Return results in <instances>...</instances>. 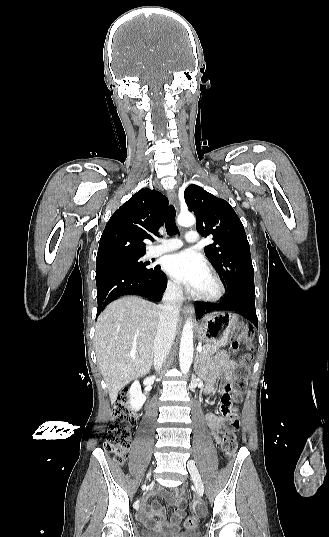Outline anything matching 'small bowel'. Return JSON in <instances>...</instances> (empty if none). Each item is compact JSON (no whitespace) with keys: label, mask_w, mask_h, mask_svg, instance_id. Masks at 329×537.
<instances>
[{"label":"small bowel","mask_w":329,"mask_h":537,"mask_svg":"<svg viewBox=\"0 0 329 537\" xmlns=\"http://www.w3.org/2000/svg\"><path fill=\"white\" fill-rule=\"evenodd\" d=\"M236 363L231 360L226 353L219 354L213 364L209 368L208 385L205 389L206 394L215 392L214 383L219 379H223L225 384L222 391L226 392L234 382V370ZM224 411V406H223ZM230 414L235 419L237 416V408H230ZM207 424L210 428L211 435L217 443L221 442L219 429L224 423V418L217 416L211 412L206 413ZM159 494L164 497L167 502L174 506V512L170 520L167 519L166 510L160 507L157 501L153 503H144L141 520L148 528L154 531H165L169 533L177 532L180 524L185 516L186 491L183 488H174L172 493L160 491Z\"/></svg>","instance_id":"1"}]
</instances>
